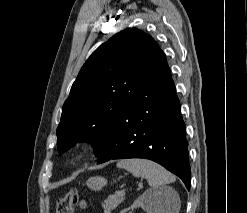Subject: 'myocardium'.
<instances>
[{
  "instance_id": "f54148a6",
  "label": "myocardium",
  "mask_w": 247,
  "mask_h": 213,
  "mask_svg": "<svg viewBox=\"0 0 247 213\" xmlns=\"http://www.w3.org/2000/svg\"><path fill=\"white\" fill-rule=\"evenodd\" d=\"M89 153V147L87 144L77 145L71 154L72 161L74 163H80L84 161Z\"/></svg>"
}]
</instances>
